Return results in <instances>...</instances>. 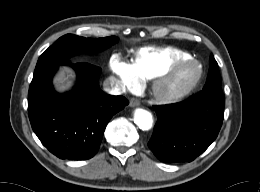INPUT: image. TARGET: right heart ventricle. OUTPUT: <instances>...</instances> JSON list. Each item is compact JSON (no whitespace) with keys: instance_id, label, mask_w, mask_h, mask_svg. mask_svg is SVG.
<instances>
[{"instance_id":"e07e8e85","label":"right heart ventricle","mask_w":260,"mask_h":192,"mask_svg":"<svg viewBox=\"0 0 260 192\" xmlns=\"http://www.w3.org/2000/svg\"><path fill=\"white\" fill-rule=\"evenodd\" d=\"M189 58L188 53L177 48H144L135 58L133 67L140 79L150 80L167 71L175 63Z\"/></svg>"}]
</instances>
